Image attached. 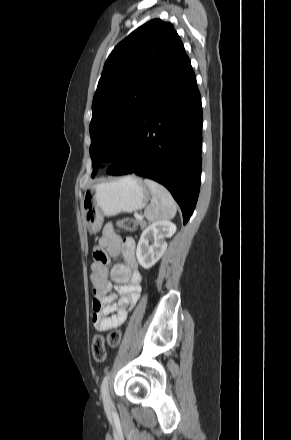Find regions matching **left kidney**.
Masks as SVG:
<instances>
[{
	"label": "left kidney",
	"mask_w": 291,
	"mask_h": 440,
	"mask_svg": "<svg viewBox=\"0 0 291 440\" xmlns=\"http://www.w3.org/2000/svg\"><path fill=\"white\" fill-rule=\"evenodd\" d=\"M176 232V225L168 220H158L142 232L136 249L139 264L149 269L162 257L167 248V237Z\"/></svg>",
	"instance_id": "1"
}]
</instances>
